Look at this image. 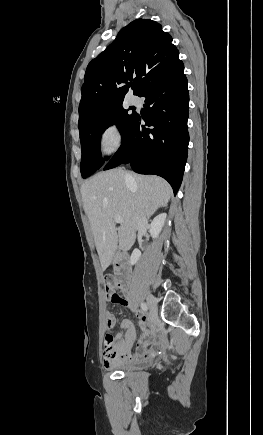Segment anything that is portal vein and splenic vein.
Masks as SVG:
<instances>
[{
    "instance_id": "portal-vein-and-splenic-vein-1",
    "label": "portal vein and splenic vein",
    "mask_w": 263,
    "mask_h": 435,
    "mask_svg": "<svg viewBox=\"0 0 263 435\" xmlns=\"http://www.w3.org/2000/svg\"><path fill=\"white\" fill-rule=\"evenodd\" d=\"M114 220L116 223H119V224H121L123 222V219L120 216H115Z\"/></svg>"
}]
</instances>
